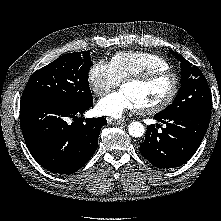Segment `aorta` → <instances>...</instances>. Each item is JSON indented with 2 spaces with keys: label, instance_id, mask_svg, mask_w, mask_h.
<instances>
[{
  "label": "aorta",
  "instance_id": "aorta-1",
  "mask_svg": "<svg viewBox=\"0 0 221 221\" xmlns=\"http://www.w3.org/2000/svg\"><path fill=\"white\" fill-rule=\"evenodd\" d=\"M128 131L129 134L133 137H141L145 132V128L142 123L135 121L130 123L128 126Z\"/></svg>",
  "mask_w": 221,
  "mask_h": 221
}]
</instances>
